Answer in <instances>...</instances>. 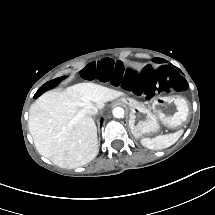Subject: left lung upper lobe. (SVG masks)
<instances>
[{
    "label": "left lung upper lobe",
    "instance_id": "5c2ea615",
    "mask_svg": "<svg viewBox=\"0 0 215 215\" xmlns=\"http://www.w3.org/2000/svg\"><path fill=\"white\" fill-rule=\"evenodd\" d=\"M154 62H158L159 63V62H161V60L160 59H155Z\"/></svg>",
    "mask_w": 215,
    "mask_h": 215
}]
</instances>
